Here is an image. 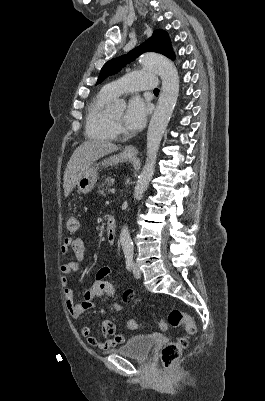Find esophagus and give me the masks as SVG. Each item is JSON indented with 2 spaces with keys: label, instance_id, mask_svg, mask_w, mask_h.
<instances>
[{
  "label": "esophagus",
  "instance_id": "34e87169",
  "mask_svg": "<svg viewBox=\"0 0 265 401\" xmlns=\"http://www.w3.org/2000/svg\"><path fill=\"white\" fill-rule=\"evenodd\" d=\"M125 151H126L128 154H130L131 156H134V157H136L137 154H138V149L135 148L134 146H127V147L125 148Z\"/></svg>",
  "mask_w": 265,
  "mask_h": 401
}]
</instances>
